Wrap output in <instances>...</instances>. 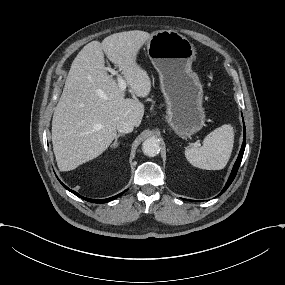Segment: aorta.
<instances>
[{
	"label": "aorta",
	"instance_id": "obj_1",
	"mask_svg": "<svg viewBox=\"0 0 285 285\" xmlns=\"http://www.w3.org/2000/svg\"><path fill=\"white\" fill-rule=\"evenodd\" d=\"M142 151L146 156H156L160 152L158 140L154 137L146 139L142 144Z\"/></svg>",
	"mask_w": 285,
	"mask_h": 285
}]
</instances>
